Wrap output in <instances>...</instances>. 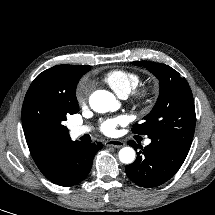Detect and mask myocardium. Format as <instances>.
I'll return each instance as SVG.
<instances>
[{
    "instance_id": "myocardium-1",
    "label": "myocardium",
    "mask_w": 215,
    "mask_h": 215,
    "mask_svg": "<svg viewBox=\"0 0 215 215\" xmlns=\"http://www.w3.org/2000/svg\"><path fill=\"white\" fill-rule=\"evenodd\" d=\"M156 93L155 86L151 84H141L137 86L130 94L132 102L139 107H148Z\"/></svg>"
}]
</instances>
